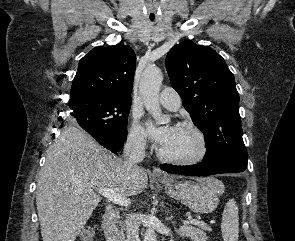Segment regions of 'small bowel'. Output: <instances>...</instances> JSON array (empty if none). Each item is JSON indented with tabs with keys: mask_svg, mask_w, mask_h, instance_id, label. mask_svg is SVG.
I'll return each mask as SVG.
<instances>
[{
	"mask_svg": "<svg viewBox=\"0 0 295 241\" xmlns=\"http://www.w3.org/2000/svg\"><path fill=\"white\" fill-rule=\"evenodd\" d=\"M180 232L183 236L191 238L192 241H206L204 234L196 229L184 227Z\"/></svg>",
	"mask_w": 295,
	"mask_h": 241,
	"instance_id": "c3829d8e",
	"label": "small bowel"
}]
</instances>
